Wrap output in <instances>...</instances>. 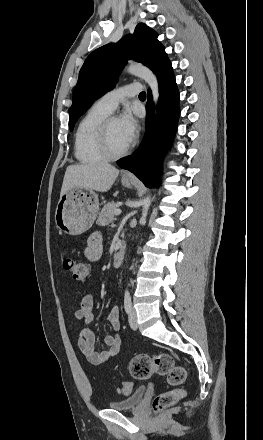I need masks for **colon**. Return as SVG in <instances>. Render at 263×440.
I'll return each instance as SVG.
<instances>
[{
  "instance_id": "1",
  "label": "colon",
  "mask_w": 263,
  "mask_h": 440,
  "mask_svg": "<svg viewBox=\"0 0 263 440\" xmlns=\"http://www.w3.org/2000/svg\"><path fill=\"white\" fill-rule=\"evenodd\" d=\"M63 267L79 281H84L90 273L87 264L67 255L63 258ZM129 372L136 380H146L153 374L166 377V381L172 389L160 393L154 398L152 406L155 411H163L174 406L184 396L183 385L187 377L186 370L183 366L176 364L168 353L161 352L152 356L136 355L129 363ZM131 391L132 384L130 382H124L120 385L122 394H130Z\"/></svg>"
}]
</instances>
